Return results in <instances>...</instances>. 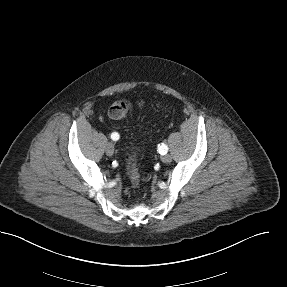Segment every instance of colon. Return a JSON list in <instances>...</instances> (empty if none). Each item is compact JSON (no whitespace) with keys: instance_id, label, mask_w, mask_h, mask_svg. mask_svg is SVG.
Here are the masks:
<instances>
[{"instance_id":"obj_1","label":"colon","mask_w":287,"mask_h":287,"mask_svg":"<svg viewBox=\"0 0 287 287\" xmlns=\"http://www.w3.org/2000/svg\"><path fill=\"white\" fill-rule=\"evenodd\" d=\"M131 108V103L126 99H119L113 102L109 109V116L113 119H123L127 116ZM127 175L131 182L137 186L140 182V174L137 166V157L135 153H130L126 158Z\"/></svg>"}]
</instances>
